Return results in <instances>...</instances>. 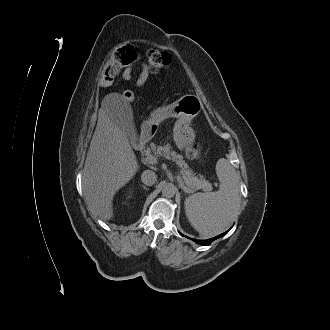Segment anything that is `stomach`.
<instances>
[{
  "label": "stomach",
  "mask_w": 330,
  "mask_h": 330,
  "mask_svg": "<svg viewBox=\"0 0 330 330\" xmlns=\"http://www.w3.org/2000/svg\"><path fill=\"white\" fill-rule=\"evenodd\" d=\"M203 109L201 100L192 94L182 96L176 102L163 109L167 117H175L177 121L173 128V139L179 149L191 146L195 140V132L190 126L191 120ZM157 124L156 117L152 118L146 126V132H152L153 125Z\"/></svg>",
  "instance_id": "1"
}]
</instances>
